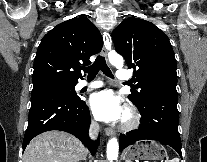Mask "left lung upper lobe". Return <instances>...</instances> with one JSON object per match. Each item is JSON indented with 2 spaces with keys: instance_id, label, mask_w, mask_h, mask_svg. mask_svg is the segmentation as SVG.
<instances>
[{
  "instance_id": "1",
  "label": "left lung upper lobe",
  "mask_w": 207,
  "mask_h": 162,
  "mask_svg": "<svg viewBox=\"0 0 207 162\" xmlns=\"http://www.w3.org/2000/svg\"><path fill=\"white\" fill-rule=\"evenodd\" d=\"M116 51L134 68L136 89L128 98L141 107L150 97H178L176 60L167 35L153 23L129 17L113 31Z\"/></svg>"
}]
</instances>
